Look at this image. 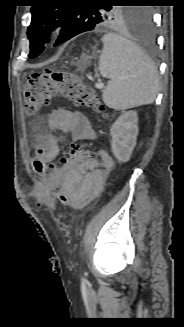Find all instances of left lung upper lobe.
<instances>
[{"label":"left lung upper lobe","instance_id":"obj_1","mask_svg":"<svg viewBox=\"0 0 184 327\" xmlns=\"http://www.w3.org/2000/svg\"><path fill=\"white\" fill-rule=\"evenodd\" d=\"M54 0H40L31 6L32 21L27 29L30 40L29 58H36L49 41L50 33L61 26L62 30L77 34L94 30L100 26L127 24L137 26L149 16L142 7L113 6L114 3H133L134 0H100L96 5L80 4L84 1L71 0L70 4L55 5Z\"/></svg>","mask_w":184,"mask_h":327}]
</instances>
